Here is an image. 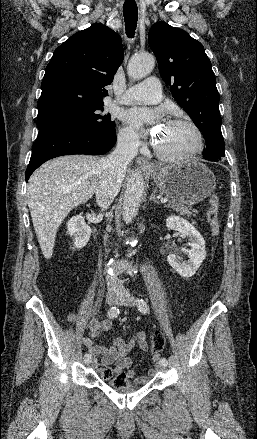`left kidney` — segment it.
Returning <instances> with one entry per match:
<instances>
[{
  "instance_id": "obj_1",
  "label": "left kidney",
  "mask_w": 257,
  "mask_h": 439,
  "mask_svg": "<svg viewBox=\"0 0 257 439\" xmlns=\"http://www.w3.org/2000/svg\"><path fill=\"white\" fill-rule=\"evenodd\" d=\"M166 227L176 230L183 238H188L187 245L189 259L186 262L181 260L174 254L167 257L169 265L181 276L189 278L193 276L206 257L205 241L200 232L190 224L187 220L179 216H169L166 220Z\"/></svg>"
}]
</instances>
